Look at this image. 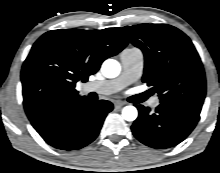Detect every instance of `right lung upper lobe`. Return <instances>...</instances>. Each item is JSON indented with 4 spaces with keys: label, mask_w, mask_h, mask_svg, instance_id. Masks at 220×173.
<instances>
[{
    "label": "right lung upper lobe",
    "mask_w": 220,
    "mask_h": 173,
    "mask_svg": "<svg viewBox=\"0 0 220 173\" xmlns=\"http://www.w3.org/2000/svg\"><path fill=\"white\" fill-rule=\"evenodd\" d=\"M127 44L117 28L59 29L43 34L22 67L24 105L34 102L41 109L78 95L76 82H86L105 59L121 52Z\"/></svg>",
    "instance_id": "cb5924a9"
}]
</instances>
